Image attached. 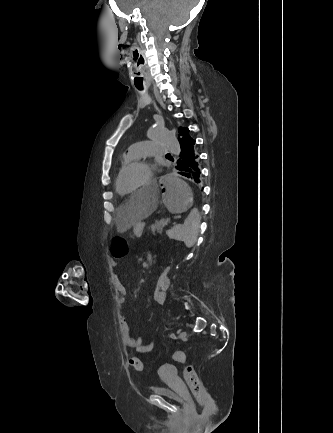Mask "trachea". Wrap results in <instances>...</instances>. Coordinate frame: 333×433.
<instances>
[{
    "mask_svg": "<svg viewBox=\"0 0 333 433\" xmlns=\"http://www.w3.org/2000/svg\"><path fill=\"white\" fill-rule=\"evenodd\" d=\"M139 90H142V87H137ZM167 156H170V154H166Z\"/></svg>",
    "mask_w": 333,
    "mask_h": 433,
    "instance_id": "1",
    "label": "trachea"
}]
</instances>
